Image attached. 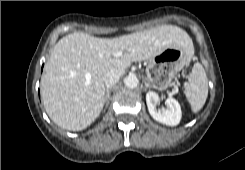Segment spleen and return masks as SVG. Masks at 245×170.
I'll use <instances>...</instances> for the list:
<instances>
[{"label":"spleen","mask_w":245,"mask_h":170,"mask_svg":"<svg viewBox=\"0 0 245 170\" xmlns=\"http://www.w3.org/2000/svg\"><path fill=\"white\" fill-rule=\"evenodd\" d=\"M184 94L194 113L204 106L208 96V80L203 66L195 63L185 85Z\"/></svg>","instance_id":"3e777b00"}]
</instances>
